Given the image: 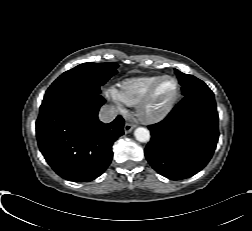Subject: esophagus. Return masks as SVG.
I'll list each match as a JSON object with an SVG mask.
<instances>
[{"mask_svg":"<svg viewBox=\"0 0 252 231\" xmlns=\"http://www.w3.org/2000/svg\"><path fill=\"white\" fill-rule=\"evenodd\" d=\"M134 128H135V125H134V124L127 122V123H125V125H124V132H125L126 134H128V133H130Z\"/></svg>","mask_w":252,"mask_h":231,"instance_id":"esophagus-1","label":"esophagus"}]
</instances>
